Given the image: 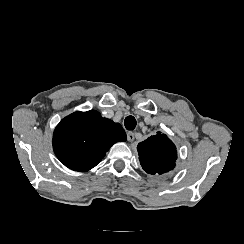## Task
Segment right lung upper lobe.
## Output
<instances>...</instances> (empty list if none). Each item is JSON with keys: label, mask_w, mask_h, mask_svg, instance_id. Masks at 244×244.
<instances>
[{"label": "right lung upper lobe", "mask_w": 244, "mask_h": 244, "mask_svg": "<svg viewBox=\"0 0 244 244\" xmlns=\"http://www.w3.org/2000/svg\"><path fill=\"white\" fill-rule=\"evenodd\" d=\"M126 139L122 126L98 111L74 112L57 125L53 149L66 167L85 172L95 167L113 144Z\"/></svg>", "instance_id": "obj_1"}]
</instances>
